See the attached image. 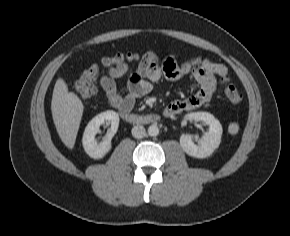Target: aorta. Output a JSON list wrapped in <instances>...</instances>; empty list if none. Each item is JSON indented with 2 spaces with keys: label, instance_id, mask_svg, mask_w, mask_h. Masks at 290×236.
Listing matches in <instances>:
<instances>
[{
  "label": "aorta",
  "instance_id": "obj_1",
  "mask_svg": "<svg viewBox=\"0 0 290 236\" xmlns=\"http://www.w3.org/2000/svg\"><path fill=\"white\" fill-rule=\"evenodd\" d=\"M149 136H157L159 134V128L157 125L153 124L148 127Z\"/></svg>",
  "mask_w": 290,
  "mask_h": 236
}]
</instances>
